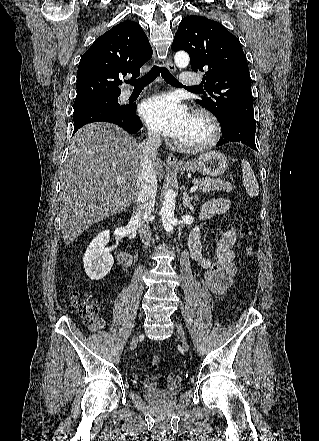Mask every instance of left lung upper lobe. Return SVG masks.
<instances>
[{
    "instance_id": "5c2ea615",
    "label": "left lung upper lobe",
    "mask_w": 319,
    "mask_h": 441,
    "mask_svg": "<svg viewBox=\"0 0 319 441\" xmlns=\"http://www.w3.org/2000/svg\"><path fill=\"white\" fill-rule=\"evenodd\" d=\"M171 48L189 53L193 71H206L203 86L209 96L196 102L217 117L222 129L232 121L256 126L247 59L234 35L216 21L188 16Z\"/></svg>"
}]
</instances>
